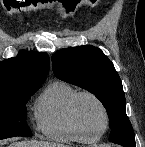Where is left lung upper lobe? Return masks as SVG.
Wrapping results in <instances>:
<instances>
[{
	"label": "left lung upper lobe",
	"mask_w": 145,
	"mask_h": 147,
	"mask_svg": "<svg viewBox=\"0 0 145 147\" xmlns=\"http://www.w3.org/2000/svg\"><path fill=\"white\" fill-rule=\"evenodd\" d=\"M52 68L57 78L86 89L102 102L109 116V141L135 147L120 77L99 48L84 45L61 49L52 56Z\"/></svg>",
	"instance_id": "obj_1"
}]
</instances>
